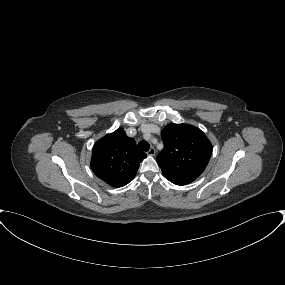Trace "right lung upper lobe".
Here are the masks:
<instances>
[{
    "mask_svg": "<svg viewBox=\"0 0 285 285\" xmlns=\"http://www.w3.org/2000/svg\"><path fill=\"white\" fill-rule=\"evenodd\" d=\"M146 157L144 152L137 150L135 140L119 128L95 143L91 168L110 186L122 187L135 177L140 162Z\"/></svg>",
    "mask_w": 285,
    "mask_h": 285,
    "instance_id": "cb5924a9",
    "label": "right lung upper lobe"
}]
</instances>
